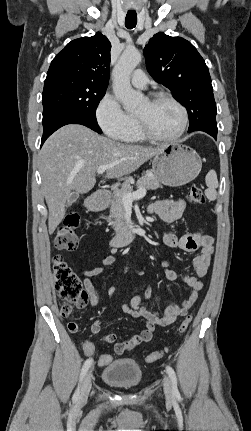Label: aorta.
Here are the masks:
<instances>
[{
    "label": "aorta",
    "mask_w": 251,
    "mask_h": 431,
    "mask_svg": "<svg viewBox=\"0 0 251 431\" xmlns=\"http://www.w3.org/2000/svg\"><path fill=\"white\" fill-rule=\"evenodd\" d=\"M141 61V54L136 48H126L115 65L113 91L126 110H133L140 105L141 96L130 84V75Z\"/></svg>",
    "instance_id": "1"
}]
</instances>
